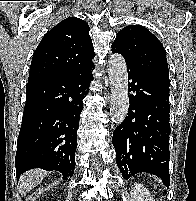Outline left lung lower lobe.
I'll use <instances>...</instances> for the list:
<instances>
[{"label": "left lung lower lobe", "mask_w": 196, "mask_h": 201, "mask_svg": "<svg viewBox=\"0 0 196 201\" xmlns=\"http://www.w3.org/2000/svg\"><path fill=\"white\" fill-rule=\"evenodd\" d=\"M128 68L129 109L114 130L112 143L124 179L139 172L158 176L165 186L169 175V85Z\"/></svg>", "instance_id": "obj_1"}]
</instances>
